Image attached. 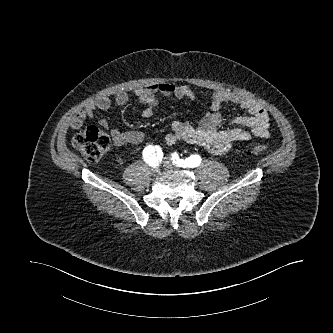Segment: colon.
<instances>
[{
    "instance_id": "colon-1",
    "label": "colon",
    "mask_w": 333,
    "mask_h": 333,
    "mask_svg": "<svg viewBox=\"0 0 333 333\" xmlns=\"http://www.w3.org/2000/svg\"><path fill=\"white\" fill-rule=\"evenodd\" d=\"M73 145L87 161L97 162L110 149L111 137L103 129L92 125L74 137ZM244 152L248 156H260L267 152V147L261 144H254L245 148Z\"/></svg>"
}]
</instances>
